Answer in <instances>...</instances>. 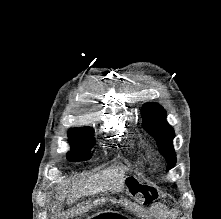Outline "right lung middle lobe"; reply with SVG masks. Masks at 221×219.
Listing matches in <instances>:
<instances>
[{"mask_svg": "<svg viewBox=\"0 0 221 219\" xmlns=\"http://www.w3.org/2000/svg\"><path fill=\"white\" fill-rule=\"evenodd\" d=\"M92 132L93 129L90 127L69 130L68 137L71 150L66 154L69 161L88 160L92 156V154H87L95 144Z\"/></svg>", "mask_w": 221, "mask_h": 219, "instance_id": "right-lung-middle-lobe-1", "label": "right lung middle lobe"}]
</instances>
